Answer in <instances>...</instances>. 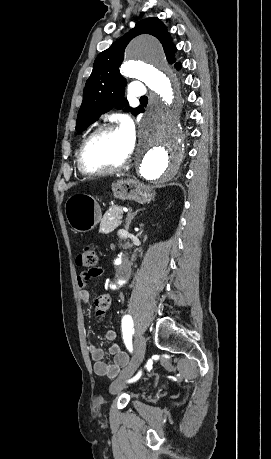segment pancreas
Here are the masks:
<instances>
[{"instance_id":"pancreas-1","label":"pancreas","mask_w":271,"mask_h":459,"mask_svg":"<svg viewBox=\"0 0 271 459\" xmlns=\"http://www.w3.org/2000/svg\"><path fill=\"white\" fill-rule=\"evenodd\" d=\"M118 214H123L121 206L112 208L110 212H107L101 220L99 231H102V233H109V231H113L114 228L120 226L121 219H118Z\"/></svg>"}]
</instances>
